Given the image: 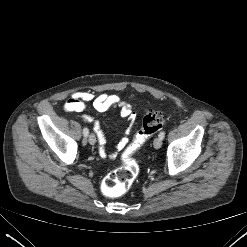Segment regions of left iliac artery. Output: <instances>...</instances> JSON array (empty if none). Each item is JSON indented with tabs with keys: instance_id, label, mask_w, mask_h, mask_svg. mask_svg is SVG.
<instances>
[{
	"instance_id": "1",
	"label": "left iliac artery",
	"mask_w": 247,
	"mask_h": 247,
	"mask_svg": "<svg viewBox=\"0 0 247 247\" xmlns=\"http://www.w3.org/2000/svg\"><path fill=\"white\" fill-rule=\"evenodd\" d=\"M159 137H160L161 139H164V137H165V132H164V131L160 132Z\"/></svg>"
}]
</instances>
